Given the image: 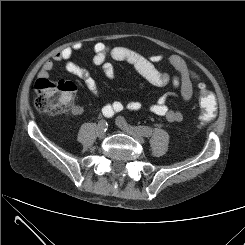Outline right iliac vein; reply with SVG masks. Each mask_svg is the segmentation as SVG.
Instances as JSON below:
<instances>
[{
	"mask_svg": "<svg viewBox=\"0 0 245 245\" xmlns=\"http://www.w3.org/2000/svg\"><path fill=\"white\" fill-rule=\"evenodd\" d=\"M106 135V131L104 130V127L101 125L98 126V137L99 138H104Z\"/></svg>",
	"mask_w": 245,
	"mask_h": 245,
	"instance_id": "1",
	"label": "right iliac vein"
}]
</instances>
